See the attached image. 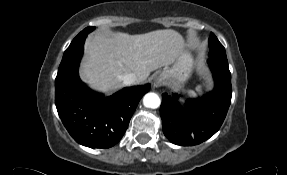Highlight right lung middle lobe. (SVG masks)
Listing matches in <instances>:
<instances>
[{
    "instance_id": "1",
    "label": "right lung middle lobe",
    "mask_w": 287,
    "mask_h": 175,
    "mask_svg": "<svg viewBox=\"0 0 287 175\" xmlns=\"http://www.w3.org/2000/svg\"><path fill=\"white\" fill-rule=\"evenodd\" d=\"M94 29H95V27H87V28H85L83 31H81V32L74 38V40L72 41V43H74V42H76V41L78 40L79 35H81V34H88L89 32L93 31ZM72 43H71V44H72Z\"/></svg>"
}]
</instances>
